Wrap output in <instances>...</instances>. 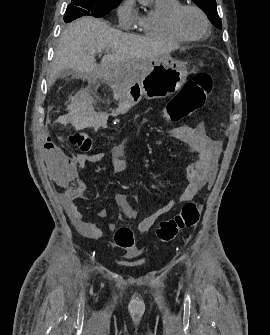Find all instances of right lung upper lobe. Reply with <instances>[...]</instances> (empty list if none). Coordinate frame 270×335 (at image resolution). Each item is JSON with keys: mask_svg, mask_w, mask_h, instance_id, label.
Listing matches in <instances>:
<instances>
[{"mask_svg": "<svg viewBox=\"0 0 270 335\" xmlns=\"http://www.w3.org/2000/svg\"><path fill=\"white\" fill-rule=\"evenodd\" d=\"M112 1H116V2H118V1H122V0H112Z\"/></svg>", "mask_w": 270, "mask_h": 335, "instance_id": "right-lung-upper-lobe-1", "label": "right lung upper lobe"}]
</instances>
